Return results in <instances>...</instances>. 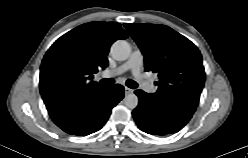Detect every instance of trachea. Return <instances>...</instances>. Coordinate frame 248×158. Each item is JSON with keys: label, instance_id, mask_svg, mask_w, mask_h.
<instances>
[{"label": "trachea", "instance_id": "obj_1", "mask_svg": "<svg viewBox=\"0 0 248 158\" xmlns=\"http://www.w3.org/2000/svg\"><path fill=\"white\" fill-rule=\"evenodd\" d=\"M100 83L102 84V85H105V86H110V85H113L114 83H115V81H114V79H112V78H104V79H102L101 81H100ZM126 85L129 87V88H131V89H135V88H137V83L135 82V81H133V80H131V79H128L127 81H126Z\"/></svg>", "mask_w": 248, "mask_h": 158}]
</instances>
